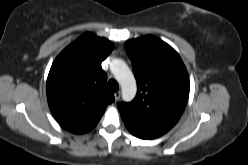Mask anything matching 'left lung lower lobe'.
Returning <instances> with one entry per match:
<instances>
[{"instance_id": "1", "label": "left lung lower lobe", "mask_w": 248, "mask_h": 165, "mask_svg": "<svg viewBox=\"0 0 248 165\" xmlns=\"http://www.w3.org/2000/svg\"><path fill=\"white\" fill-rule=\"evenodd\" d=\"M123 122L128 129V131L133 134L134 136L141 138V139H154L157 138L164 133L150 127L142 126L133 122L132 120L126 118L125 116L121 115Z\"/></svg>"}]
</instances>
